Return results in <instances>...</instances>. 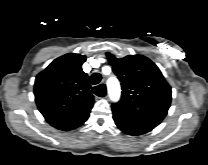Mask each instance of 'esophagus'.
<instances>
[{
	"label": "esophagus",
	"instance_id": "esophagus-1",
	"mask_svg": "<svg viewBox=\"0 0 208 165\" xmlns=\"http://www.w3.org/2000/svg\"><path fill=\"white\" fill-rule=\"evenodd\" d=\"M100 85H103L105 87V91H106L105 95L103 97H101V98H106L107 97V87H106V84L105 83H101Z\"/></svg>",
	"mask_w": 208,
	"mask_h": 165
}]
</instances>
